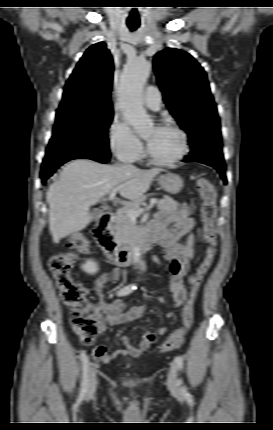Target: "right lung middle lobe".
Wrapping results in <instances>:
<instances>
[{
    "mask_svg": "<svg viewBox=\"0 0 273 430\" xmlns=\"http://www.w3.org/2000/svg\"><path fill=\"white\" fill-rule=\"evenodd\" d=\"M112 119L113 110L58 109L43 166L78 154L109 153L107 128Z\"/></svg>",
    "mask_w": 273,
    "mask_h": 430,
    "instance_id": "1",
    "label": "right lung middle lobe"
}]
</instances>
